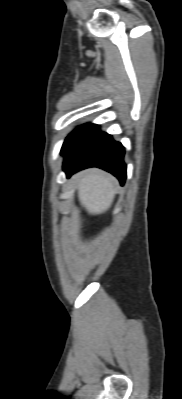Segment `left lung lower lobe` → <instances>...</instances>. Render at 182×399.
<instances>
[{
	"label": "left lung lower lobe",
	"instance_id": "1",
	"mask_svg": "<svg viewBox=\"0 0 182 399\" xmlns=\"http://www.w3.org/2000/svg\"><path fill=\"white\" fill-rule=\"evenodd\" d=\"M61 154L68 178L81 169L99 167L116 176L121 185L125 182L124 147L111 135L101 132L98 125L88 123L78 127Z\"/></svg>",
	"mask_w": 182,
	"mask_h": 399
}]
</instances>
